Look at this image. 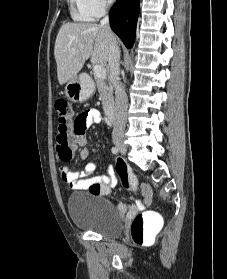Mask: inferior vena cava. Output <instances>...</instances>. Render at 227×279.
<instances>
[{
  "instance_id": "1",
  "label": "inferior vena cava",
  "mask_w": 227,
  "mask_h": 279,
  "mask_svg": "<svg viewBox=\"0 0 227 279\" xmlns=\"http://www.w3.org/2000/svg\"><path fill=\"white\" fill-rule=\"evenodd\" d=\"M100 24L102 27L110 29L108 16H105L100 21ZM108 65L110 68L112 83L116 90L113 136L117 137L123 135L125 130L128 99L123 86L119 82L120 49L115 41H111L109 45Z\"/></svg>"
}]
</instances>
